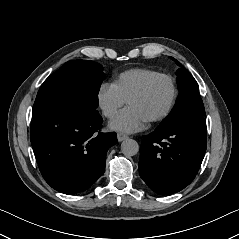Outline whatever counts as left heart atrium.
I'll list each match as a JSON object with an SVG mask.
<instances>
[{
	"mask_svg": "<svg viewBox=\"0 0 239 239\" xmlns=\"http://www.w3.org/2000/svg\"><path fill=\"white\" fill-rule=\"evenodd\" d=\"M146 121L137 110L128 106L111 120L109 126L113 130L131 133L143 129Z\"/></svg>",
	"mask_w": 239,
	"mask_h": 239,
	"instance_id": "obj_1",
	"label": "left heart atrium"
}]
</instances>
